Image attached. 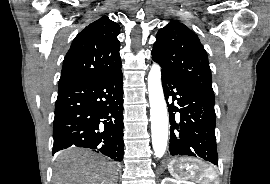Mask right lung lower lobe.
<instances>
[{
    "instance_id": "98d812e1",
    "label": "right lung lower lobe",
    "mask_w": 270,
    "mask_h": 184,
    "mask_svg": "<svg viewBox=\"0 0 270 184\" xmlns=\"http://www.w3.org/2000/svg\"><path fill=\"white\" fill-rule=\"evenodd\" d=\"M123 75L106 76L59 87L53 123V154L76 145L122 161Z\"/></svg>"
}]
</instances>
